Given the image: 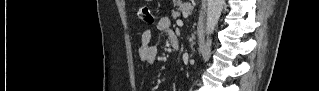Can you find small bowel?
Wrapping results in <instances>:
<instances>
[{
    "label": "small bowel",
    "mask_w": 319,
    "mask_h": 91,
    "mask_svg": "<svg viewBox=\"0 0 319 91\" xmlns=\"http://www.w3.org/2000/svg\"><path fill=\"white\" fill-rule=\"evenodd\" d=\"M171 22L168 17H162L158 20L156 24V30L158 32H167L169 38L173 35V31L170 29ZM152 31L146 30L142 33L141 44L139 46V57L142 62L151 64L154 63L158 56V48L155 44L151 42Z\"/></svg>",
    "instance_id": "1"
}]
</instances>
